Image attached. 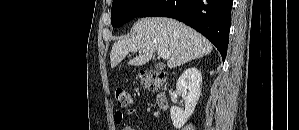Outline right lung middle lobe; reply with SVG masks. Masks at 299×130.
<instances>
[{
    "instance_id": "dd1d6c3e",
    "label": "right lung middle lobe",
    "mask_w": 299,
    "mask_h": 130,
    "mask_svg": "<svg viewBox=\"0 0 299 130\" xmlns=\"http://www.w3.org/2000/svg\"><path fill=\"white\" fill-rule=\"evenodd\" d=\"M154 0H113L111 23L119 27L137 17Z\"/></svg>"
}]
</instances>
